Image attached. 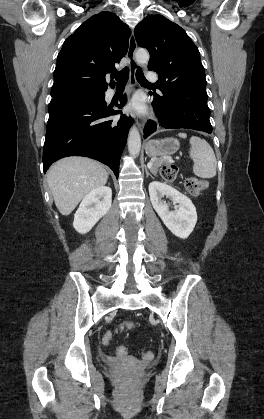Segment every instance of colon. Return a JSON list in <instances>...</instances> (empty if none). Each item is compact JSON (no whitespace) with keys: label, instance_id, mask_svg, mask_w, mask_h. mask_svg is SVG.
<instances>
[{"label":"colon","instance_id":"obj_1","mask_svg":"<svg viewBox=\"0 0 264 419\" xmlns=\"http://www.w3.org/2000/svg\"><path fill=\"white\" fill-rule=\"evenodd\" d=\"M161 176L166 181H173L178 173L177 167L175 165H166L161 169ZM185 187L187 191L191 194H198L205 190L207 187V183L205 180L202 179H195V178H189L185 182ZM135 324L133 322H126L124 324V327L128 329L134 328ZM112 340V333L107 332L103 336V343L108 345L110 344ZM127 352V351H126ZM143 358L145 360H152L153 359V353L151 351H146L142 354Z\"/></svg>","mask_w":264,"mask_h":419}]
</instances>
